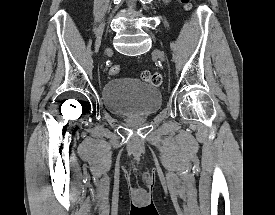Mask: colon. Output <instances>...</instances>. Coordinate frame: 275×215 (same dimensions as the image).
I'll return each mask as SVG.
<instances>
[{
	"mask_svg": "<svg viewBox=\"0 0 275 215\" xmlns=\"http://www.w3.org/2000/svg\"><path fill=\"white\" fill-rule=\"evenodd\" d=\"M181 3L185 8L187 9L190 8L189 0H181ZM108 72H109V75L111 76L117 75L120 72L119 65H116V64L111 65ZM141 78L152 86H159L162 82V77L159 73L152 72L149 70L143 71L141 74Z\"/></svg>",
	"mask_w": 275,
	"mask_h": 215,
	"instance_id": "1",
	"label": "colon"
}]
</instances>
